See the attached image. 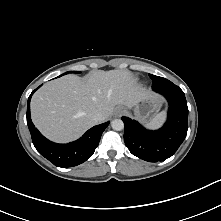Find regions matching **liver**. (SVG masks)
<instances>
[{
	"instance_id": "6515ba94",
	"label": "liver",
	"mask_w": 221,
	"mask_h": 221,
	"mask_svg": "<svg viewBox=\"0 0 221 221\" xmlns=\"http://www.w3.org/2000/svg\"><path fill=\"white\" fill-rule=\"evenodd\" d=\"M148 96L127 70H96L85 78L67 75L46 83L33 95L31 117L44 136L68 142L97 124L95 113L101 112L105 121L116 105L131 109Z\"/></svg>"
}]
</instances>
